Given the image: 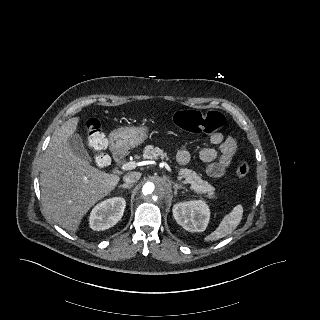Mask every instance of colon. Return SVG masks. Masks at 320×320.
I'll return each instance as SVG.
<instances>
[{"label":"colon","instance_id":"colon-1","mask_svg":"<svg viewBox=\"0 0 320 320\" xmlns=\"http://www.w3.org/2000/svg\"><path fill=\"white\" fill-rule=\"evenodd\" d=\"M173 120L177 127L192 133H210L222 128L225 124V117L219 112H201L192 109L176 112ZM87 142L89 147L97 153L99 165L106 166L108 159L101 151L106 147L107 139L101 123L95 118L87 122ZM248 173V164L244 160H239L236 166V176L239 179H245Z\"/></svg>","mask_w":320,"mask_h":320}]
</instances>
